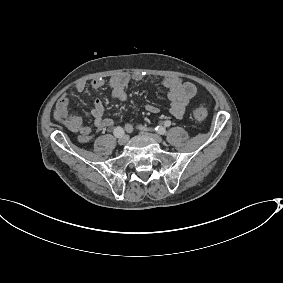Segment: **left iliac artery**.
Instances as JSON below:
<instances>
[{"instance_id":"obj_1","label":"left iliac artery","mask_w":283,"mask_h":283,"mask_svg":"<svg viewBox=\"0 0 283 283\" xmlns=\"http://www.w3.org/2000/svg\"><path fill=\"white\" fill-rule=\"evenodd\" d=\"M171 125V121L167 120L164 122V127L163 126H157L155 128L156 132L159 133V134H165L166 133V130H165V127H169ZM142 129H146L145 127H141Z\"/></svg>"}]
</instances>
